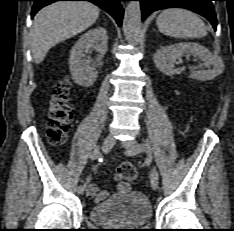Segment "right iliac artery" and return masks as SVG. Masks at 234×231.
<instances>
[{
  "instance_id": "obj_1",
  "label": "right iliac artery",
  "mask_w": 234,
  "mask_h": 231,
  "mask_svg": "<svg viewBox=\"0 0 234 231\" xmlns=\"http://www.w3.org/2000/svg\"><path fill=\"white\" fill-rule=\"evenodd\" d=\"M100 157V152L98 149L94 150L91 154H90V159L91 160H96ZM90 182V177H88L84 183L83 188H85L87 186V184Z\"/></svg>"
}]
</instances>
